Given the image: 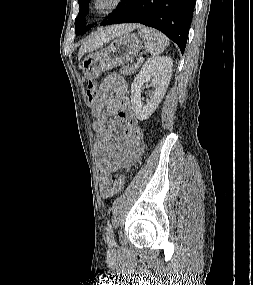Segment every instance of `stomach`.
<instances>
[{"label": "stomach", "instance_id": "1", "mask_svg": "<svg viewBox=\"0 0 253 285\" xmlns=\"http://www.w3.org/2000/svg\"><path fill=\"white\" fill-rule=\"evenodd\" d=\"M142 47V42L137 35H122L108 47L85 57L81 63L82 73L86 79H95L104 71L132 61Z\"/></svg>", "mask_w": 253, "mask_h": 285}]
</instances>
